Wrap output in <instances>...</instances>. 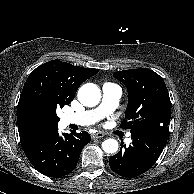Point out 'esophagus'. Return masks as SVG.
Segmentation results:
<instances>
[{"label": "esophagus", "mask_w": 194, "mask_h": 194, "mask_svg": "<svg viewBox=\"0 0 194 194\" xmlns=\"http://www.w3.org/2000/svg\"><path fill=\"white\" fill-rule=\"evenodd\" d=\"M91 137L93 139H100V138L104 137V133H102V132H96V133L92 134Z\"/></svg>", "instance_id": "obj_1"}]
</instances>
